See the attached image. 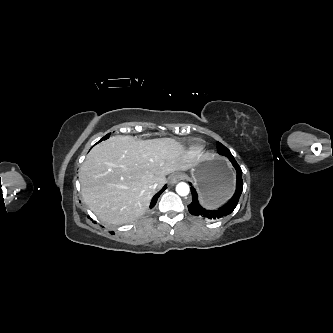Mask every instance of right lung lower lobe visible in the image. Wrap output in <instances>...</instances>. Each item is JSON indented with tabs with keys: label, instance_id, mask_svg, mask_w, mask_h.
I'll return each mask as SVG.
<instances>
[{
	"label": "right lung lower lobe",
	"instance_id": "1",
	"mask_svg": "<svg viewBox=\"0 0 333 333\" xmlns=\"http://www.w3.org/2000/svg\"><path fill=\"white\" fill-rule=\"evenodd\" d=\"M101 141V140H100ZM166 185L162 188L161 191H159L151 200V204H150V208H153L158 200V197L160 196V194L166 189Z\"/></svg>",
	"mask_w": 333,
	"mask_h": 333
}]
</instances>
